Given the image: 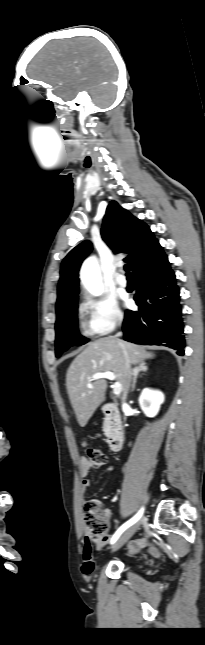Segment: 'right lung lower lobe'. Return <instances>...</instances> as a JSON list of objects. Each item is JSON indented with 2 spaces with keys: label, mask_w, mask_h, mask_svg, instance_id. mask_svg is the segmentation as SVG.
<instances>
[{
  "label": "right lung lower lobe",
  "mask_w": 205,
  "mask_h": 645,
  "mask_svg": "<svg viewBox=\"0 0 205 645\" xmlns=\"http://www.w3.org/2000/svg\"><path fill=\"white\" fill-rule=\"evenodd\" d=\"M138 311H126L124 339L145 345H163L184 355V323L179 287L164 254L134 273Z\"/></svg>",
  "instance_id": "right-lung-lower-lobe-1"
}]
</instances>
